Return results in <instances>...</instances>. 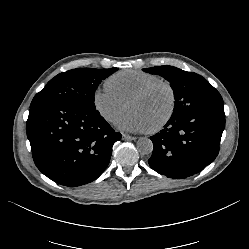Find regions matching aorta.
I'll return each instance as SVG.
<instances>
[{
	"label": "aorta",
	"mask_w": 249,
	"mask_h": 249,
	"mask_svg": "<svg viewBox=\"0 0 249 249\" xmlns=\"http://www.w3.org/2000/svg\"><path fill=\"white\" fill-rule=\"evenodd\" d=\"M136 146L138 152L142 155H148L153 151V142L146 137L139 138Z\"/></svg>",
	"instance_id": "obj_1"
}]
</instances>
